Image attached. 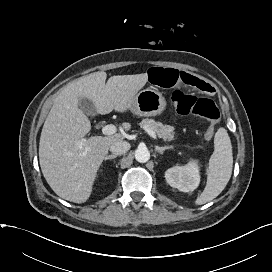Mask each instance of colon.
I'll return each mask as SVG.
<instances>
[{
	"label": "colon",
	"instance_id": "1",
	"mask_svg": "<svg viewBox=\"0 0 272 272\" xmlns=\"http://www.w3.org/2000/svg\"><path fill=\"white\" fill-rule=\"evenodd\" d=\"M169 102L172 108L181 115H196L208 120L210 124L205 131V136L207 139L212 138L220 113L211 99L175 90L170 95Z\"/></svg>",
	"mask_w": 272,
	"mask_h": 272
}]
</instances>
